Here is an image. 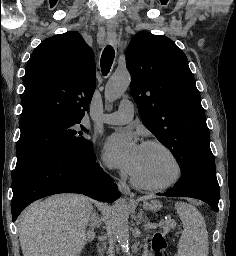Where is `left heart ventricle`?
<instances>
[{"label":"left heart ventricle","mask_w":236,"mask_h":256,"mask_svg":"<svg viewBox=\"0 0 236 256\" xmlns=\"http://www.w3.org/2000/svg\"><path fill=\"white\" fill-rule=\"evenodd\" d=\"M176 172L171 157L157 147L141 146L134 169L130 172L139 182L156 186L169 181Z\"/></svg>","instance_id":"b2bd125f"}]
</instances>
